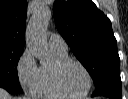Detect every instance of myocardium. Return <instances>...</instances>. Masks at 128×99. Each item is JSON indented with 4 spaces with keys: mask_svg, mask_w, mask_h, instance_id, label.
<instances>
[{
    "mask_svg": "<svg viewBox=\"0 0 128 99\" xmlns=\"http://www.w3.org/2000/svg\"><path fill=\"white\" fill-rule=\"evenodd\" d=\"M71 64L78 65L86 74V77L88 80V85H87L86 90L81 94H71L63 86V83H62L63 72ZM54 82H55V86H56L57 90L63 96L68 97V98H72V99H80V98L86 97L90 93L92 85H93V79H92L91 73L89 72L87 67L82 62L75 60V59H71V58H67L66 60L60 62L55 67V69H54Z\"/></svg>",
    "mask_w": 128,
    "mask_h": 99,
    "instance_id": "myocardium-1",
    "label": "myocardium"
}]
</instances>
